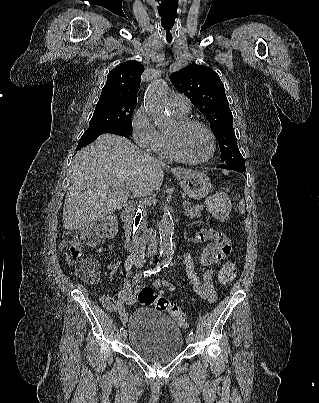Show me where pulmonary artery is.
<instances>
[{
  "label": "pulmonary artery",
  "instance_id": "e3ab8cb5",
  "mask_svg": "<svg viewBox=\"0 0 319 403\" xmlns=\"http://www.w3.org/2000/svg\"><path fill=\"white\" fill-rule=\"evenodd\" d=\"M169 108L177 113L187 114L190 109V101L182 94H172L169 99Z\"/></svg>",
  "mask_w": 319,
  "mask_h": 403
}]
</instances>
